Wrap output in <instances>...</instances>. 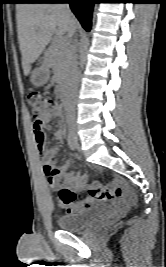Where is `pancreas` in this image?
I'll return each instance as SVG.
<instances>
[{
    "label": "pancreas",
    "mask_w": 166,
    "mask_h": 267,
    "mask_svg": "<svg viewBox=\"0 0 166 267\" xmlns=\"http://www.w3.org/2000/svg\"><path fill=\"white\" fill-rule=\"evenodd\" d=\"M69 45L64 41H55L46 51L48 65L53 69L54 77L63 81L69 71Z\"/></svg>",
    "instance_id": "obj_1"
}]
</instances>
